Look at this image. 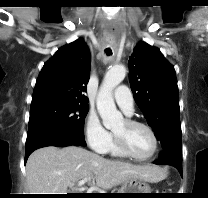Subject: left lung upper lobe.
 <instances>
[{"instance_id":"obj_1","label":"left lung upper lobe","mask_w":208,"mask_h":198,"mask_svg":"<svg viewBox=\"0 0 208 198\" xmlns=\"http://www.w3.org/2000/svg\"><path fill=\"white\" fill-rule=\"evenodd\" d=\"M128 64L134 99L163 151L181 156L179 93L174 67L158 48L143 41L134 48Z\"/></svg>"}]
</instances>
